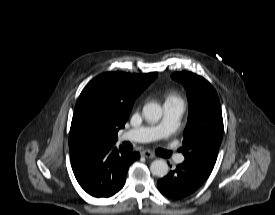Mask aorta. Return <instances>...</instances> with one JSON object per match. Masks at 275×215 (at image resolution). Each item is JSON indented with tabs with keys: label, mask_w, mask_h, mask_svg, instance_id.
Wrapping results in <instances>:
<instances>
[{
	"label": "aorta",
	"mask_w": 275,
	"mask_h": 215,
	"mask_svg": "<svg viewBox=\"0 0 275 215\" xmlns=\"http://www.w3.org/2000/svg\"><path fill=\"white\" fill-rule=\"evenodd\" d=\"M142 114L146 121L156 123L161 119L163 110L159 104L152 102L144 105ZM168 169L167 162L162 159L154 160L150 165L151 173L159 178L166 176Z\"/></svg>",
	"instance_id": "762f6f07"
}]
</instances>
